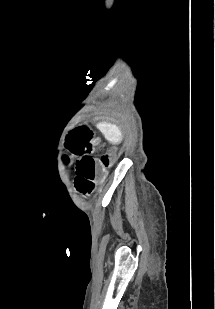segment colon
Instances as JSON below:
<instances>
[{
	"instance_id": "colon-1",
	"label": "colon",
	"mask_w": 215,
	"mask_h": 309,
	"mask_svg": "<svg viewBox=\"0 0 215 309\" xmlns=\"http://www.w3.org/2000/svg\"><path fill=\"white\" fill-rule=\"evenodd\" d=\"M101 162L104 166L108 167L111 164V156L110 154H103L101 158Z\"/></svg>"
}]
</instances>
